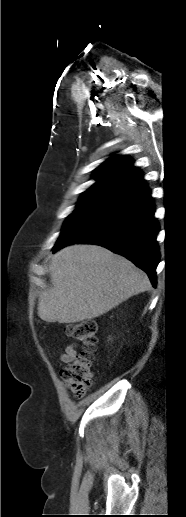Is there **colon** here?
<instances>
[{
	"mask_svg": "<svg viewBox=\"0 0 186 517\" xmlns=\"http://www.w3.org/2000/svg\"><path fill=\"white\" fill-rule=\"evenodd\" d=\"M65 330L68 336L82 344L83 351L76 353L73 359L66 364L60 372V377L76 398H82L92 386V353L97 341V324L93 320L74 322L67 324Z\"/></svg>",
	"mask_w": 186,
	"mask_h": 517,
	"instance_id": "colon-1",
	"label": "colon"
}]
</instances>
